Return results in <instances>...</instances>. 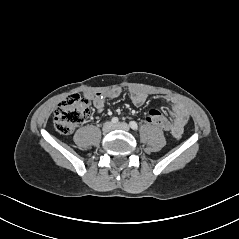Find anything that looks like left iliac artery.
Masks as SVG:
<instances>
[{
	"label": "left iliac artery",
	"instance_id": "1",
	"mask_svg": "<svg viewBox=\"0 0 239 239\" xmlns=\"http://www.w3.org/2000/svg\"><path fill=\"white\" fill-rule=\"evenodd\" d=\"M130 127L133 129V130H137L138 129V125L135 121H131L129 123Z\"/></svg>",
	"mask_w": 239,
	"mask_h": 239
}]
</instances>
